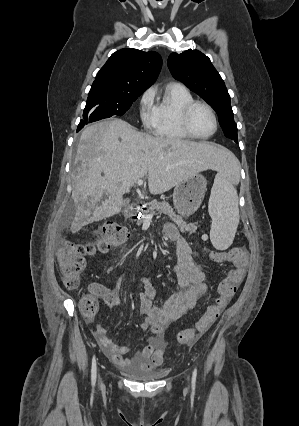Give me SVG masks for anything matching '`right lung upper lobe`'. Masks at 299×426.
<instances>
[{"instance_id":"obj_1","label":"right lung upper lobe","mask_w":299,"mask_h":426,"mask_svg":"<svg viewBox=\"0 0 299 426\" xmlns=\"http://www.w3.org/2000/svg\"><path fill=\"white\" fill-rule=\"evenodd\" d=\"M161 66V56L154 51L121 49L111 55L92 86L129 93L144 92L157 79Z\"/></svg>"}]
</instances>
